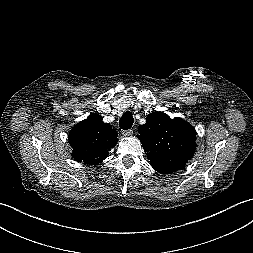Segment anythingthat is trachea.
<instances>
[{"label":"trachea","instance_id":"3493384b","mask_svg":"<svg viewBox=\"0 0 253 253\" xmlns=\"http://www.w3.org/2000/svg\"><path fill=\"white\" fill-rule=\"evenodd\" d=\"M133 122H134V119H133L132 113L127 111L120 118L119 126L123 130H128L132 127Z\"/></svg>","mask_w":253,"mask_h":253}]
</instances>
